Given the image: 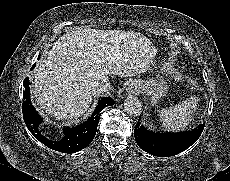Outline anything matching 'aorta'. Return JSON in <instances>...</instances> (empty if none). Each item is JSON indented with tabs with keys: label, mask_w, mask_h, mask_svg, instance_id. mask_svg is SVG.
Returning <instances> with one entry per match:
<instances>
[{
	"label": "aorta",
	"mask_w": 230,
	"mask_h": 181,
	"mask_svg": "<svg viewBox=\"0 0 230 181\" xmlns=\"http://www.w3.org/2000/svg\"><path fill=\"white\" fill-rule=\"evenodd\" d=\"M124 110L129 115H140L142 112L141 101L137 97H127L124 101Z\"/></svg>",
	"instance_id": "1"
}]
</instances>
